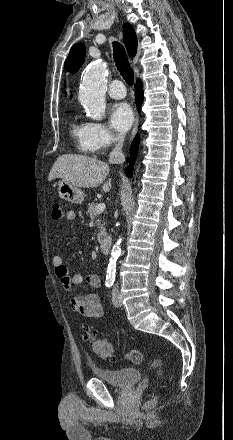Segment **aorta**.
<instances>
[{
  "mask_svg": "<svg viewBox=\"0 0 233 440\" xmlns=\"http://www.w3.org/2000/svg\"><path fill=\"white\" fill-rule=\"evenodd\" d=\"M107 68L104 63L90 65L83 76L79 99L84 106L86 114L93 120H101L105 115ZM122 239L119 238L111 250V257L107 267V278L114 279L116 274V262L121 254Z\"/></svg>",
  "mask_w": 233,
  "mask_h": 440,
  "instance_id": "1",
  "label": "aorta"
}]
</instances>
